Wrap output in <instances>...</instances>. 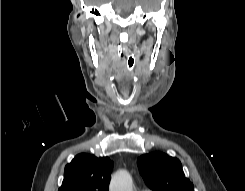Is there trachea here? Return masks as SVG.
Listing matches in <instances>:
<instances>
[{"mask_svg":"<svg viewBox=\"0 0 245 191\" xmlns=\"http://www.w3.org/2000/svg\"><path fill=\"white\" fill-rule=\"evenodd\" d=\"M126 64H127V67L129 70H131L135 64H136V58L133 54H130L128 57H127V61H126Z\"/></svg>","mask_w":245,"mask_h":191,"instance_id":"1","label":"trachea"}]
</instances>
